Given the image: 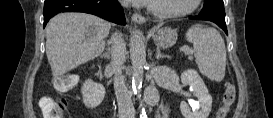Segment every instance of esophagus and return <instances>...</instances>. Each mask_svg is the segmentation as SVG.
I'll return each instance as SVG.
<instances>
[{"label": "esophagus", "mask_w": 273, "mask_h": 118, "mask_svg": "<svg viewBox=\"0 0 273 118\" xmlns=\"http://www.w3.org/2000/svg\"><path fill=\"white\" fill-rule=\"evenodd\" d=\"M131 18H132V21L137 24H144L146 21L144 16H142L141 14H138V13H134Z\"/></svg>", "instance_id": "esophagus-1"}]
</instances>
